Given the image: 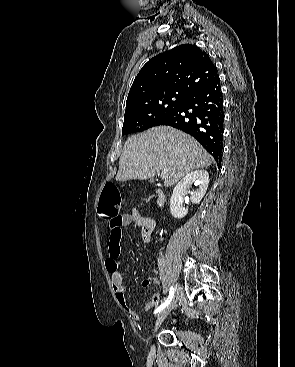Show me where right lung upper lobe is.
<instances>
[{
    "label": "right lung upper lobe",
    "mask_w": 295,
    "mask_h": 367,
    "mask_svg": "<svg viewBox=\"0 0 295 367\" xmlns=\"http://www.w3.org/2000/svg\"><path fill=\"white\" fill-rule=\"evenodd\" d=\"M218 78L208 54L184 44L149 60L136 76L129 91L126 109L141 99L163 93L190 95Z\"/></svg>",
    "instance_id": "right-lung-upper-lobe-1"
}]
</instances>
